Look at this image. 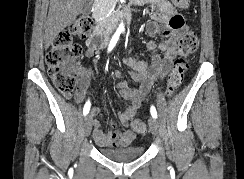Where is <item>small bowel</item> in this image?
<instances>
[{
    "label": "small bowel",
    "instance_id": "small-bowel-1",
    "mask_svg": "<svg viewBox=\"0 0 244 179\" xmlns=\"http://www.w3.org/2000/svg\"><path fill=\"white\" fill-rule=\"evenodd\" d=\"M139 6L150 5L155 9L153 19L146 23V33L151 36H161L163 40L157 43L149 40L146 51L150 55L148 60H134L124 58V63L131 69L130 77L140 83L138 88H130L124 79L122 72L115 71L113 76L118 79L117 90L121 97L128 101L127 107L119 114V121L126 128L124 131H114L115 123L111 120L107 127H103L95 118L100 109L94 107L91 110L93 137L100 147H125L133 138L134 131L131 128V120L140 108L142 101L151 89L153 83L163 79L170 71L176 56V41L183 28V18L174 6L165 0L138 1ZM85 56L92 58L97 48L87 40ZM78 87L75 94H65L67 99H74L76 103H83L89 83L97 77L93 66L77 69Z\"/></svg>",
    "mask_w": 244,
    "mask_h": 179
}]
</instances>
